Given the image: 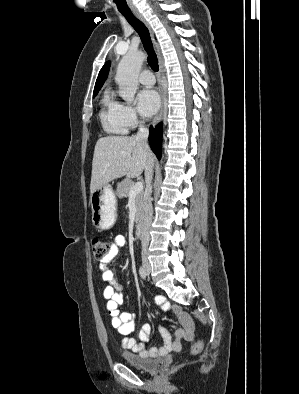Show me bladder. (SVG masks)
Returning <instances> with one entry per match:
<instances>
[{
    "label": "bladder",
    "mask_w": 299,
    "mask_h": 394,
    "mask_svg": "<svg viewBox=\"0 0 299 394\" xmlns=\"http://www.w3.org/2000/svg\"><path fill=\"white\" fill-rule=\"evenodd\" d=\"M122 360L129 366L141 370V371H152L157 369L160 364L161 360L159 359H147L142 357L138 354L131 353V352H123L121 354Z\"/></svg>",
    "instance_id": "obj_1"
}]
</instances>
